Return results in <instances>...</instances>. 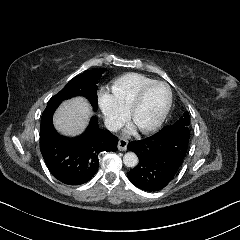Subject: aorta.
Returning <instances> with one entry per match:
<instances>
[{"label":"aorta","mask_w":240,"mask_h":240,"mask_svg":"<svg viewBox=\"0 0 240 240\" xmlns=\"http://www.w3.org/2000/svg\"><path fill=\"white\" fill-rule=\"evenodd\" d=\"M123 163L127 167H134L138 164V157L134 152H127L123 157Z\"/></svg>","instance_id":"aorta-1"}]
</instances>
